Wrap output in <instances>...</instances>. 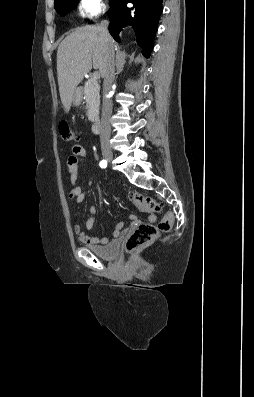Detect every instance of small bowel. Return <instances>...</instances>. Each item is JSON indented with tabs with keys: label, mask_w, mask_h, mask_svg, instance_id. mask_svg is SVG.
Returning <instances> with one entry per match:
<instances>
[{
	"label": "small bowel",
	"mask_w": 254,
	"mask_h": 397,
	"mask_svg": "<svg viewBox=\"0 0 254 397\" xmlns=\"http://www.w3.org/2000/svg\"><path fill=\"white\" fill-rule=\"evenodd\" d=\"M87 154L86 149L81 145H74L72 147V154L69 156L67 161V168L69 172V180L72 185V189L69 192V198L74 200L76 203L80 204L85 200L86 193L82 189L80 185H78V176H79V163L83 157ZM97 213V209L95 206H91L88 210V218L85 222V228L87 230H91L94 226L95 215ZM129 218L132 220L131 227H135L139 224L135 215H130ZM149 221L154 222L156 220L155 215L149 216ZM124 224L122 222L116 225V228L113 232L114 237H118L121 233L127 231V229H123ZM73 231L76 234L78 240L86 245L92 246L97 244H106L108 242L107 238H99L92 237L87 235L82 231L81 225L74 224Z\"/></svg>",
	"instance_id": "small-bowel-1"
}]
</instances>
